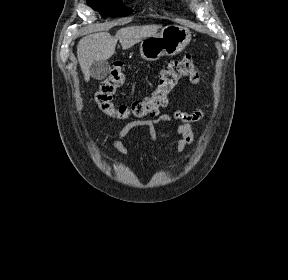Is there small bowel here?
Instances as JSON below:
<instances>
[{
  "label": "small bowel",
  "mask_w": 288,
  "mask_h": 280,
  "mask_svg": "<svg viewBox=\"0 0 288 280\" xmlns=\"http://www.w3.org/2000/svg\"><path fill=\"white\" fill-rule=\"evenodd\" d=\"M202 116L203 113L201 111L187 113L177 110L172 114H160L154 119L136 120L130 122L118 132V136L123 138L127 136L131 129L139 126L147 127L150 134L153 136L155 134V127L158 124L167 123L178 135L181 136L180 140L177 142V148L179 152H183L193 143L194 140L191 124L200 120ZM112 147L118 149L124 155L128 153L127 149L120 141H114L112 143Z\"/></svg>",
  "instance_id": "c3829d8e"
}]
</instances>
